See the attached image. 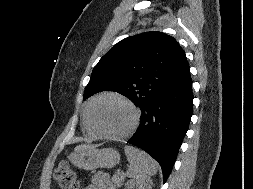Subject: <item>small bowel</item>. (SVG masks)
Here are the masks:
<instances>
[{"label": "small bowel", "instance_id": "c3829d8e", "mask_svg": "<svg viewBox=\"0 0 253 189\" xmlns=\"http://www.w3.org/2000/svg\"><path fill=\"white\" fill-rule=\"evenodd\" d=\"M86 189H114V187L106 173L97 172L93 175L91 183Z\"/></svg>", "mask_w": 253, "mask_h": 189}]
</instances>
